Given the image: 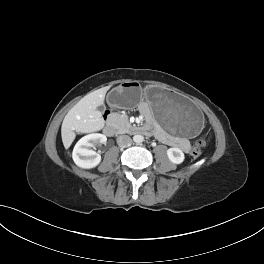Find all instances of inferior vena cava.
<instances>
[{
  "label": "inferior vena cava",
  "mask_w": 264,
  "mask_h": 264,
  "mask_svg": "<svg viewBox=\"0 0 264 264\" xmlns=\"http://www.w3.org/2000/svg\"><path fill=\"white\" fill-rule=\"evenodd\" d=\"M117 144L120 147H128L132 144V139L128 135H120L117 138Z\"/></svg>",
  "instance_id": "1"
}]
</instances>
